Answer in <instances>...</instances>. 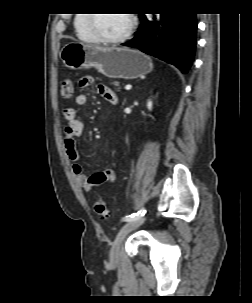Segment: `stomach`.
Listing matches in <instances>:
<instances>
[{"mask_svg": "<svg viewBox=\"0 0 252 303\" xmlns=\"http://www.w3.org/2000/svg\"><path fill=\"white\" fill-rule=\"evenodd\" d=\"M60 57L70 69L95 67L109 78L136 79L152 70L150 58L138 50L121 47H101L81 42H69Z\"/></svg>", "mask_w": 252, "mask_h": 303, "instance_id": "stomach-1", "label": "stomach"}]
</instances>
